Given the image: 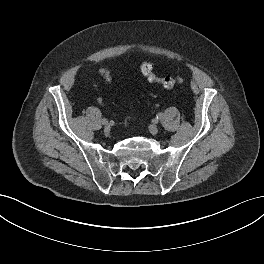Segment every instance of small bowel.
Here are the masks:
<instances>
[{
  "mask_svg": "<svg viewBox=\"0 0 264 264\" xmlns=\"http://www.w3.org/2000/svg\"><path fill=\"white\" fill-rule=\"evenodd\" d=\"M99 103H102V99H99Z\"/></svg>",
  "mask_w": 264,
  "mask_h": 264,
  "instance_id": "small-bowel-1",
  "label": "small bowel"
}]
</instances>
